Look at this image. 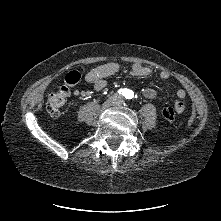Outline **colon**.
Returning <instances> with one entry per match:
<instances>
[{"label": "colon", "mask_w": 221, "mask_h": 221, "mask_svg": "<svg viewBox=\"0 0 221 221\" xmlns=\"http://www.w3.org/2000/svg\"><path fill=\"white\" fill-rule=\"evenodd\" d=\"M80 79V74L77 71L69 72L65 77L66 85H62L56 88L48 97L46 109L47 112L53 116L57 117L64 104L66 103L67 97L69 95V89L67 85H73L77 83ZM184 108L180 107H167L163 110V116L172 121L175 118L176 113H182Z\"/></svg>", "instance_id": "1"}]
</instances>
